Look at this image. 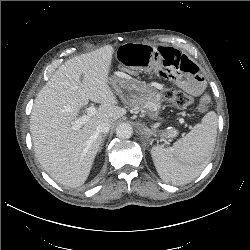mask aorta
Returning a JSON list of instances; mask_svg holds the SVG:
<instances>
[{
	"label": "aorta",
	"mask_w": 250,
	"mask_h": 250,
	"mask_svg": "<svg viewBox=\"0 0 250 250\" xmlns=\"http://www.w3.org/2000/svg\"><path fill=\"white\" fill-rule=\"evenodd\" d=\"M133 134V128L128 123H121L116 128V136L120 139H129Z\"/></svg>",
	"instance_id": "762f6f07"
}]
</instances>
